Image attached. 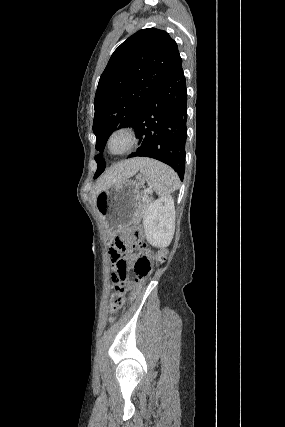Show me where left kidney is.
I'll return each instance as SVG.
<instances>
[{
    "label": "left kidney",
    "mask_w": 285,
    "mask_h": 427,
    "mask_svg": "<svg viewBox=\"0 0 285 427\" xmlns=\"http://www.w3.org/2000/svg\"><path fill=\"white\" fill-rule=\"evenodd\" d=\"M147 241L154 247H167L175 231V207L171 196L150 203L143 218Z\"/></svg>",
    "instance_id": "left-kidney-1"
}]
</instances>
